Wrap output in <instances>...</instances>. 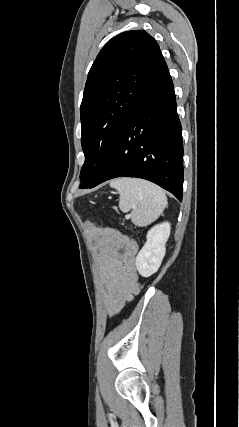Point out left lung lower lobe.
Instances as JSON below:
<instances>
[{
	"label": "left lung lower lobe",
	"instance_id": "1",
	"mask_svg": "<svg viewBox=\"0 0 239 427\" xmlns=\"http://www.w3.org/2000/svg\"><path fill=\"white\" fill-rule=\"evenodd\" d=\"M122 176L149 180L182 201L183 144L170 75L132 113L85 188Z\"/></svg>",
	"mask_w": 239,
	"mask_h": 427
}]
</instances>
